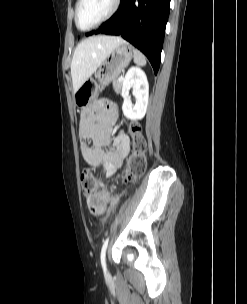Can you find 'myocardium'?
<instances>
[{
	"label": "myocardium",
	"instance_id": "myocardium-1",
	"mask_svg": "<svg viewBox=\"0 0 247 304\" xmlns=\"http://www.w3.org/2000/svg\"><path fill=\"white\" fill-rule=\"evenodd\" d=\"M82 2H83V0H78L76 3L75 24L79 30L88 31V30L94 29V28L100 26L101 24H103L104 22L108 21L117 12V10L120 6L121 0H114L112 8L109 10V12L102 19H100L98 22H96L95 24H93L92 26H90L88 28H81L78 23L79 8H80Z\"/></svg>",
	"mask_w": 247,
	"mask_h": 304
}]
</instances>
